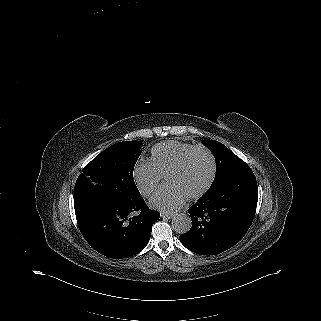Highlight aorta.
<instances>
[{"label":"aorta","instance_id":"762f6f07","mask_svg":"<svg viewBox=\"0 0 321 321\" xmlns=\"http://www.w3.org/2000/svg\"><path fill=\"white\" fill-rule=\"evenodd\" d=\"M192 227V220L188 214L178 213L172 218V228L179 234L187 233Z\"/></svg>","mask_w":321,"mask_h":321}]
</instances>
